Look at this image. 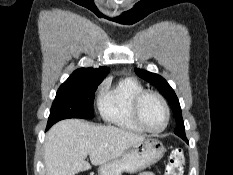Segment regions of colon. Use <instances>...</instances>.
I'll return each instance as SVG.
<instances>
[{
	"instance_id": "colon-1",
	"label": "colon",
	"mask_w": 233,
	"mask_h": 175,
	"mask_svg": "<svg viewBox=\"0 0 233 175\" xmlns=\"http://www.w3.org/2000/svg\"><path fill=\"white\" fill-rule=\"evenodd\" d=\"M185 166V155L181 148H175L170 152L165 165L163 175H182Z\"/></svg>"
}]
</instances>
